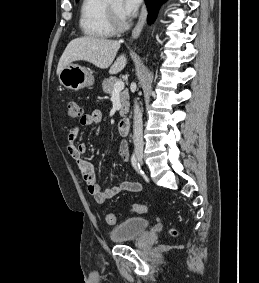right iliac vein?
Segmentation results:
<instances>
[{"instance_id":"1","label":"right iliac vein","mask_w":259,"mask_h":283,"mask_svg":"<svg viewBox=\"0 0 259 283\" xmlns=\"http://www.w3.org/2000/svg\"><path fill=\"white\" fill-rule=\"evenodd\" d=\"M137 157H138L139 160H142V154L141 153L138 152Z\"/></svg>"}]
</instances>
